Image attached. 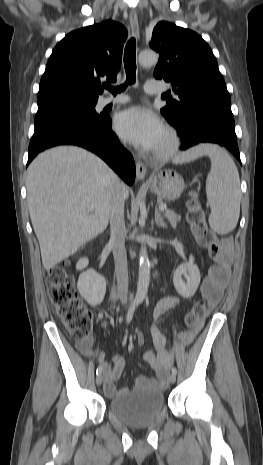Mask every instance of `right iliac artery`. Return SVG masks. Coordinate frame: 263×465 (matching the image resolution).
<instances>
[{
    "mask_svg": "<svg viewBox=\"0 0 263 465\" xmlns=\"http://www.w3.org/2000/svg\"><path fill=\"white\" fill-rule=\"evenodd\" d=\"M135 306H136V303L134 302L132 304V306L128 310L127 317H126L127 323H129L132 320V317H133V314H134V311H135ZM102 370H103L102 365H99L97 367L96 374L97 375L101 374Z\"/></svg>",
    "mask_w": 263,
    "mask_h": 465,
    "instance_id": "right-iliac-artery-1",
    "label": "right iliac artery"
}]
</instances>
